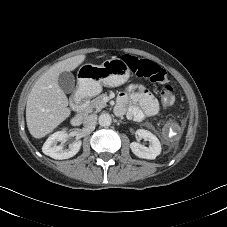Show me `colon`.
Wrapping results in <instances>:
<instances>
[{
  "instance_id": "colon-1",
  "label": "colon",
  "mask_w": 227,
  "mask_h": 227,
  "mask_svg": "<svg viewBox=\"0 0 227 227\" xmlns=\"http://www.w3.org/2000/svg\"><path fill=\"white\" fill-rule=\"evenodd\" d=\"M127 65L131 72L138 77L147 78L152 82L162 84L159 95L161 101L167 105L172 106L176 101V93L172 85L167 83L166 71L152 61H139L136 58L129 57L126 59Z\"/></svg>"
}]
</instances>
